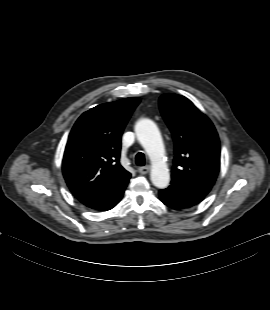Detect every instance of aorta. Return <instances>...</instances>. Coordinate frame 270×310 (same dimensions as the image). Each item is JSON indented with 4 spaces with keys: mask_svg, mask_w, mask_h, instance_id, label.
<instances>
[{
    "mask_svg": "<svg viewBox=\"0 0 270 310\" xmlns=\"http://www.w3.org/2000/svg\"><path fill=\"white\" fill-rule=\"evenodd\" d=\"M135 133L151 160L152 184L159 189L166 188L170 182V173L164 161L165 150L158 127L149 119H141L135 125Z\"/></svg>",
    "mask_w": 270,
    "mask_h": 310,
    "instance_id": "obj_1",
    "label": "aorta"
}]
</instances>
